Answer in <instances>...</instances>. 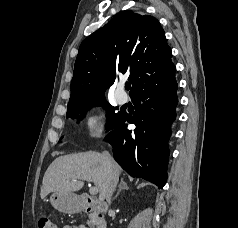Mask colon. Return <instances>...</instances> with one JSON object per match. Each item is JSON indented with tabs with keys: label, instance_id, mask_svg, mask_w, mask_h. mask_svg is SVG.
Listing matches in <instances>:
<instances>
[{
	"label": "colon",
	"instance_id": "5ec220e1",
	"mask_svg": "<svg viewBox=\"0 0 238 228\" xmlns=\"http://www.w3.org/2000/svg\"><path fill=\"white\" fill-rule=\"evenodd\" d=\"M38 228H57L56 224L51 220L50 217L42 215L37 219Z\"/></svg>",
	"mask_w": 238,
	"mask_h": 228
}]
</instances>
